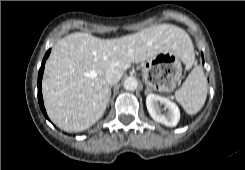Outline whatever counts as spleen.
Instances as JSON below:
<instances>
[{"instance_id":"obj_1","label":"spleen","mask_w":245,"mask_h":170,"mask_svg":"<svg viewBox=\"0 0 245 170\" xmlns=\"http://www.w3.org/2000/svg\"><path fill=\"white\" fill-rule=\"evenodd\" d=\"M193 59L194 51L189 62L192 63ZM207 89V80L202 67L195 66L181 88L175 92V99L188 114H196L206 101Z\"/></svg>"}]
</instances>
